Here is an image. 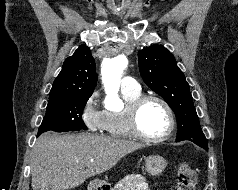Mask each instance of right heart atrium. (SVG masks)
<instances>
[{"instance_id":"1","label":"right heart atrium","mask_w":238,"mask_h":190,"mask_svg":"<svg viewBox=\"0 0 238 190\" xmlns=\"http://www.w3.org/2000/svg\"><path fill=\"white\" fill-rule=\"evenodd\" d=\"M81 118L88 130L103 132L105 130L106 111L99 104V92L94 91L84 103Z\"/></svg>"}]
</instances>
